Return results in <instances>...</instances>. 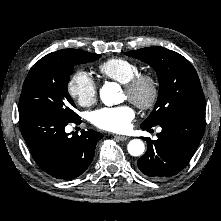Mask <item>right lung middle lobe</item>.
<instances>
[{"instance_id": "right-lung-middle-lobe-1", "label": "right lung middle lobe", "mask_w": 221, "mask_h": 221, "mask_svg": "<svg viewBox=\"0 0 221 221\" xmlns=\"http://www.w3.org/2000/svg\"><path fill=\"white\" fill-rule=\"evenodd\" d=\"M100 57L99 54L69 49L61 54H48L41 58L31 68L23 83L19 112L37 109L67 121L79 120L67 84L76 64L91 62Z\"/></svg>"}]
</instances>
